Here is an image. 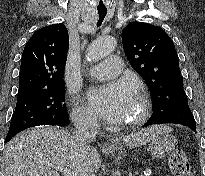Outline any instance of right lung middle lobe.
<instances>
[{
  "label": "right lung middle lobe",
  "mask_w": 205,
  "mask_h": 176,
  "mask_svg": "<svg viewBox=\"0 0 205 176\" xmlns=\"http://www.w3.org/2000/svg\"><path fill=\"white\" fill-rule=\"evenodd\" d=\"M64 100V84L18 94L6 141L30 127L68 125L69 119L66 106L63 104Z\"/></svg>",
  "instance_id": "right-lung-middle-lobe-1"
}]
</instances>
